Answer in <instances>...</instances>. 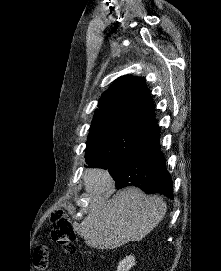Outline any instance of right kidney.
<instances>
[{
    "label": "right kidney",
    "mask_w": 221,
    "mask_h": 271,
    "mask_svg": "<svg viewBox=\"0 0 221 271\" xmlns=\"http://www.w3.org/2000/svg\"><path fill=\"white\" fill-rule=\"evenodd\" d=\"M135 255H126L124 259H120L116 271H129L135 265Z\"/></svg>",
    "instance_id": "obj_1"
}]
</instances>
